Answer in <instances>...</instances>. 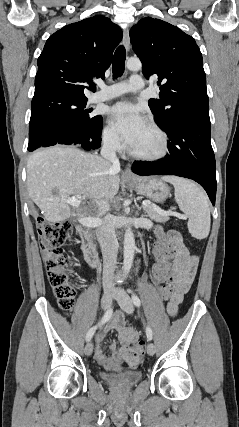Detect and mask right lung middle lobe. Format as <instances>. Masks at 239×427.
I'll return each mask as SVG.
<instances>
[{
  "mask_svg": "<svg viewBox=\"0 0 239 427\" xmlns=\"http://www.w3.org/2000/svg\"><path fill=\"white\" fill-rule=\"evenodd\" d=\"M86 103L87 99L63 95L32 99L28 149L37 146L49 132L66 130L76 138L86 136L101 119L100 115H89L90 111L84 109Z\"/></svg>",
  "mask_w": 239,
  "mask_h": 427,
  "instance_id": "right-lung-middle-lobe-1",
  "label": "right lung middle lobe"
}]
</instances>
